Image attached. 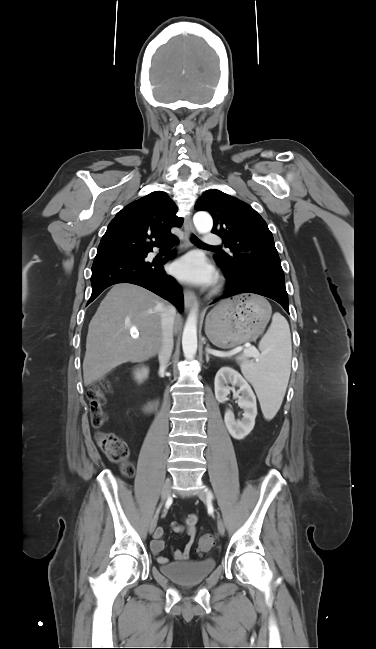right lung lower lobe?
<instances>
[{"label":"right lung lower lobe","mask_w":376,"mask_h":649,"mask_svg":"<svg viewBox=\"0 0 376 649\" xmlns=\"http://www.w3.org/2000/svg\"><path fill=\"white\" fill-rule=\"evenodd\" d=\"M157 246L161 247L162 244ZM150 251L152 249L134 257L111 256L94 260L91 276L92 294L88 304L111 285L132 283L168 300L182 312L184 307L182 290L176 280L166 274L163 268V264L174 256V251L162 260L149 262L145 258Z\"/></svg>","instance_id":"right-lung-lower-lobe-1"}]
</instances>
